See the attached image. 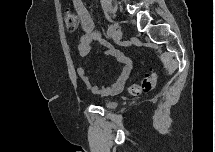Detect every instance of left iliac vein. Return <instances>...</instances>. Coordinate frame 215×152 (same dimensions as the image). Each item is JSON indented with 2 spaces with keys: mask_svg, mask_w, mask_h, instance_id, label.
Listing matches in <instances>:
<instances>
[{
  "mask_svg": "<svg viewBox=\"0 0 215 152\" xmlns=\"http://www.w3.org/2000/svg\"><path fill=\"white\" fill-rule=\"evenodd\" d=\"M113 38L116 42H119L122 39V30L120 28H117L114 31Z\"/></svg>",
  "mask_w": 215,
  "mask_h": 152,
  "instance_id": "obj_1",
  "label": "left iliac vein"
}]
</instances>
